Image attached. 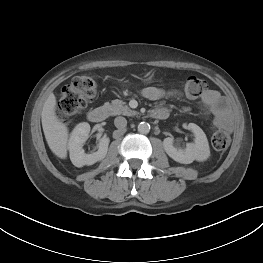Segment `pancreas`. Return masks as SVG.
Instances as JSON below:
<instances>
[{
  "mask_svg": "<svg viewBox=\"0 0 263 263\" xmlns=\"http://www.w3.org/2000/svg\"><path fill=\"white\" fill-rule=\"evenodd\" d=\"M121 100H113L111 103L106 102L104 107L107 108L110 112V115H126L132 116L135 115L136 112L132 111L127 105Z\"/></svg>",
  "mask_w": 263,
  "mask_h": 263,
  "instance_id": "cf45deb5",
  "label": "pancreas"
}]
</instances>
